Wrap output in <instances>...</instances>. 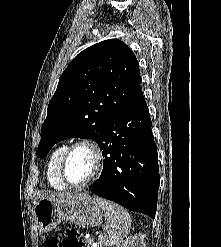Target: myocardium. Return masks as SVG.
Here are the masks:
<instances>
[{
  "instance_id": "f54148a6",
  "label": "myocardium",
  "mask_w": 221,
  "mask_h": 247,
  "mask_svg": "<svg viewBox=\"0 0 221 247\" xmlns=\"http://www.w3.org/2000/svg\"><path fill=\"white\" fill-rule=\"evenodd\" d=\"M80 147L87 148L92 152L93 158H94V168H93V172L90 174V176L87 179H85L83 182L73 183L68 179V177L66 175V165H67V161H68V158L71 155V153L75 149L80 148ZM104 166H105V154H104V151H103L101 145L98 144L93 139L80 138V139H77L76 141H74L73 143H71L67 147V149H66V151H65V153L61 159L59 173H60L61 179L64 181V183L67 186H71L73 188H79V187L86 186V185L90 184L92 181H94L96 178H98L100 176V174L102 173Z\"/></svg>"
}]
</instances>
